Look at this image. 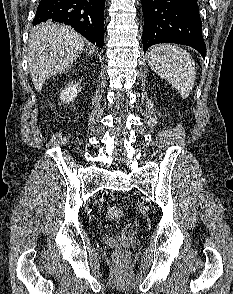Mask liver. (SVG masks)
<instances>
[{"mask_svg":"<svg viewBox=\"0 0 233 294\" xmlns=\"http://www.w3.org/2000/svg\"><path fill=\"white\" fill-rule=\"evenodd\" d=\"M84 50V39L68 26L51 22L37 26L30 34L28 68L35 89L40 92L50 77L62 73Z\"/></svg>","mask_w":233,"mask_h":294,"instance_id":"1","label":"liver"}]
</instances>
